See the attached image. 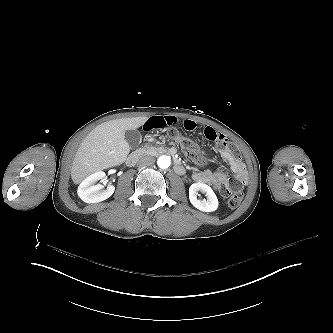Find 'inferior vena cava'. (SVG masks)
Here are the masks:
<instances>
[{"label": "inferior vena cava", "mask_w": 333, "mask_h": 333, "mask_svg": "<svg viewBox=\"0 0 333 333\" xmlns=\"http://www.w3.org/2000/svg\"><path fill=\"white\" fill-rule=\"evenodd\" d=\"M155 163V158L152 156H143L137 163V166L144 168L147 166H152Z\"/></svg>", "instance_id": "602c4592"}]
</instances>
